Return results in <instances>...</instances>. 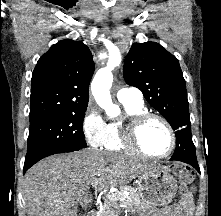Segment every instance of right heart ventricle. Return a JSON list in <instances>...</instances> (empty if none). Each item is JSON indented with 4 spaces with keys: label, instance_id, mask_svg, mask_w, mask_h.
Returning a JSON list of instances; mask_svg holds the SVG:
<instances>
[{
    "label": "right heart ventricle",
    "instance_id": "e07e8e85",
    "mask_svg": "<svg viewBox=\"0 0 221 216\" xmlns=\"http://www.w3.org/2000/svg\"><path fill=\"white\" fill-rule=\"evenodd\" d=\"M125 109V117L118 120H113L107 123V131L104 142L102 144L103 148L108 151L123 152L127 151L128 148L124 144L122 138V124L126 119L134 117L138 114L147 112V108L144 102H122Z\"/></svg>",
    "mask_w": 221,
    "mask_h": 216
}]
</instances>
